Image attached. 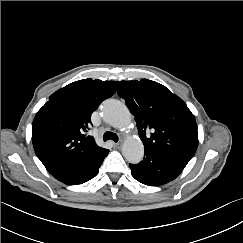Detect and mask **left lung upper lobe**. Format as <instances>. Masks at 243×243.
Listing matches in <instances>:
<instances>
[{"label":"left lung upper lobe","instance_id":"obj_1","mask_svg":"<svg viewBox=\"0 0 243 243\" xmlns=\"http://www.w3.org/2000/svg\"><path fill=\"white\" fill-rule=\"evenodd\" d=\"M117 92L134 115L145 148L195 154L197 124L182 99L165 86L148 79L118 81Z\"/></svg>","mask_w":243,"mask_h":243}]
</instances>
